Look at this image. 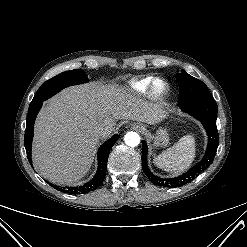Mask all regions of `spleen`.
Returning <instances> with one entry per match:
<instances>
[{
	"label": "spleen",
	"instance_id": "1",
	"mask_svg": "<svg viewBox=\"0 0 247 247\" xmlns=\"http://www.w3.org/2000/svg\"><path fill=\"white\" fill-rule=\"evenodd\" d=\"M196 153L195 138L185 135L153 159L154 164L167 172L179 174L190 167Z\"/></svg>",
	"mask_w": 247,
	"mask_h": 247
}]
</instances>
